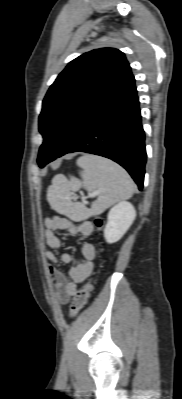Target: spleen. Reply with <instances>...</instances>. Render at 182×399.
I'll use <instances>...</instances> for the list:
<instances>
[{"label": "spleen", "instance_id": "3e777b00", "mask_svg": "<svg viewBox=\"0 0 182 399\" xmlns=\"http://www.w3.org/2000/svg\"><path fill=\"white\" fill-rule=\"evenodd\" d=\"M81 180L70 176L56 175L47 190L51 207L71 220L80 221L101 214L114 203L129 199L135 185L129 174L117 163L97 155H83L77 159ZM81 188L96 192L98 199L88 209L84 204L73 201L75 192Z\"/></svg>", "mask_w": 182, "mask_h": 399}]
</instances>
